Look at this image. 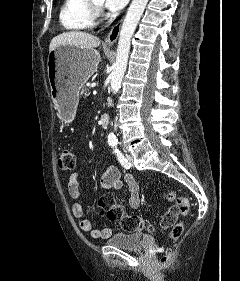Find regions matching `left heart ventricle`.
<instances>
[{
  "instance_id": "b2bd125f",
  "label": "left heart ventricle",
  "mask_w": 240,
  "mask_h": 281,
  "mask_svg": "<svg viewBox=\"0 0 240 281\" xmlns=\"http://www.w3.org/2000/svg\"><path fill=\"white\" fill-rule=\"evenodd\" d=\"M103 1H104V0H96V2H97L98 4H100V5L103 4Z\"/></svg>"
}]
</instances>
